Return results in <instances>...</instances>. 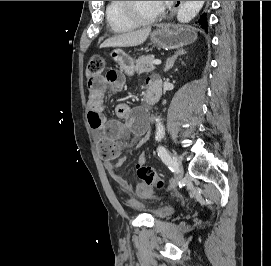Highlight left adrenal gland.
Returning <instances> with one entry per match:
<instances>
[{
  "instance_id": "obj_1",
  "label": "left adrenal gland",
  "mask_w": 271,
  "mask_h": 266,
  "mask_svg": "<svg viewBox=\"0 0 271 266\" xmlns=\"http://www.w3.org/2000/svg\"><path fill=\"white\" fill-rule=\"evenodd\" d=\"M187 52L183 49H180L178 51L175 52V54L171 57L167 59L166 62V66L164 69V72L169 71L171 68H173L175 61L177 60V58L183 54H186Z\"/></svg>"
}]
</instances>
